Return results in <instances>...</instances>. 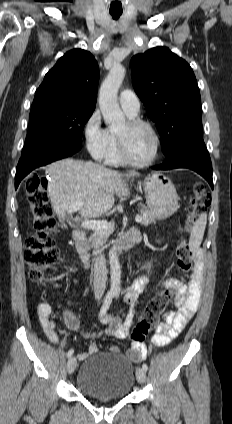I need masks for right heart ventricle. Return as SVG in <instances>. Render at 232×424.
<instances>
[{"instance_id":"e07e8e85","label":"right heart ventricle","mask_w":232,"mask_h":424,"mask_svg":"<svg viewBox=\"0 0 232 424\" xmlns=\"http://www.w3.org/2000/svg\"><path fill=\"white\" fill-rule=\"evenodd\" d=\"M109 134H110L111 144L105 156V161L108 165L118 166L123 164V162L119 156L116 135L113 131H109Z\"/></svg>"}]
</instances>
